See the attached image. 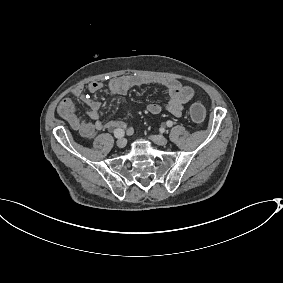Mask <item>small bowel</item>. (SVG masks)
Listing matches in <instances>:
<instances>
[{
    "mask_svg": "<svg viewBox=\"0 0 283 283\" xmlns=\"http://www.w3.org/2000/svg\"><path fill=\"white\" fill-rule=\"evenodd\" d=\"M156 84L162 86L168 94V103L166 110L175 117L182 115L184 105L193 98L194 91L192 87L182 85L173 78H159L143 75L126 74L111 79L108 83V89L111 94L123 96L127 91L135 86ZM101 81H93L87 87L80 85L73 90V95L81 99L87 106L86 115L93 120L87 122L76 112L74 102L70 98H64L58 105V114L86 140L92 139L98 132L105 129H122L126 134L131 135L134 129L131 125L120 120H109L103 122L100 119V102L91 99L87 93H95L102 89ZM147 110L151 114H159L162 107L156 103L147 105Z\"/></svg>",
    "mask_w": 283,
    "mask_h": 283,
    "instance_id": "small-bowel-1",
    "label": "small bowel"
}]
</instances>
